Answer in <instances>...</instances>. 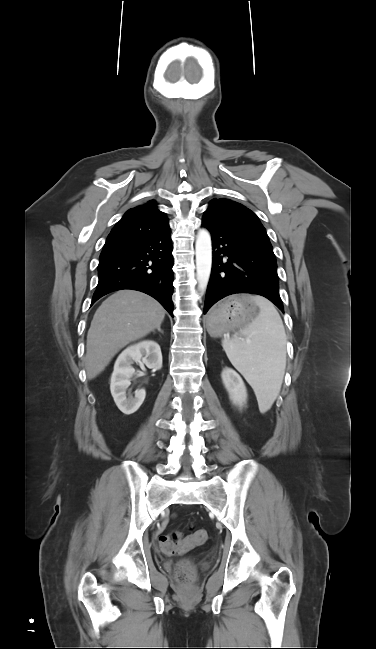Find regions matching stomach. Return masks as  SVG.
<instances>
[{
	"mask_svg": "<svg viewBox=\"0 0 376 649\" xmlns=\"http://www.w3.org/2000/svg\"><path fill=\"white\" fill-rule=\"evenodd\" d=\"M257 315V304L252 296L232 295L217 303L207 317V329L217 337L225 332L246 327Z\"/></svg>",
	"mask_w": 376,
	"mask_h": 649,
	"instance_id": "1",
	"label": "stomach"
}]
</instances>
